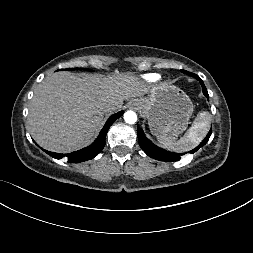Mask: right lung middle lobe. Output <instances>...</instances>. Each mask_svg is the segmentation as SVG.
<instances>
[{
  "label": "right lung middle lobe",
  "mask_w": 253,
  "mask_h": 253,
  "mask_svg": "<svg viewBox=\"0 0 253 253\" xmlns=\"http://www.w3.org/2000/svg\"><path fill=\"white\" fill-rule=\"evenodd\" d=\"M67 70H73L72 68H69V69H67ZM85 70H87V69H85Z\"/></svg>",
  "instance_id": "dd1d6c3e"
}]
</instances>
